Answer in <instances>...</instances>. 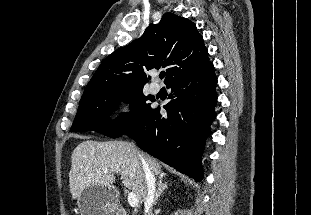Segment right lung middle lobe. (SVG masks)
<instances>
[{
  "label": "right lung middle lobe",
  "mask_w": 311,
  "mask_h": 215,
  "mask_svg": "<svg viewBox=\"0 0 311 215\" xmlns=\"http://www.w3.org/2000/svg\"><path fill=\"white\" fill-rule=\"evenodd\" d=\"M148 100L152 101V98L138 90L97 96L80 102L71 131H97L111 138L120 137L152 110ZM122 102L130 103V113H121L120 117L111 121L109 116Z\"/></svg>",
  "instance_id": "right-lung-middle-lobe-1"
}]
</instances>
